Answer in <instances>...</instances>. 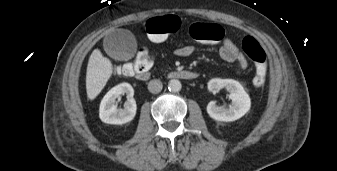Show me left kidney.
I'll use <instances>...</instances> for the list:
<instances>
[{
  "label": "left kidney",
  "mask_w": 337,
  "mask_h": 171,
  "mask_svg": "<svg viewBox=\"0 0 337 171\" xmlns=\"http://www.w3.org/2000/svg\"><path fill=\"white\" fill-rule=\"evenodd\" d=\"M225 88L232 103L227 107L217 106L215 101L207 105V113L217 121L231 122L244 116L251 107V100L243 86L233 79L214 78L208 82V89L216 92Z\"/></svg>",
  "instance_id": "obj_1"
}]
</instances>
